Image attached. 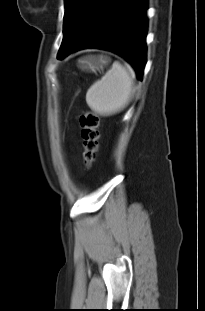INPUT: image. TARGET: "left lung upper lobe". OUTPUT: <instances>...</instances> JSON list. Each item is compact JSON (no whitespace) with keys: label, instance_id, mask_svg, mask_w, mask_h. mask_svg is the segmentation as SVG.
I'll use <instances>...</instances> for the list:
<instances>
[{"label":"left lung upper lobe","instance_id":"1","mask_svg":"<svg viewBox=\"0 0 205 311\" xmlns=\"http://www.w3.org/2000/svg\"><path fill=\"white\" fill-rule=\"evenodd\" d=\"M117 0H65L63 54L82 41L108 14Z\"/></svg>","mask_w":205,"mask_h":311}]
</instances>
